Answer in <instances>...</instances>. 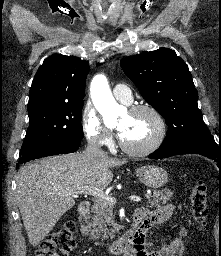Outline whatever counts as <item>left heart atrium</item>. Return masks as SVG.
Here are the masks:
<instances>
[{
    "mask_svg": "<svg viewBox=\"0 0 221 256\" xmlns=\"http://www.w3.org/2000/svg\"><path fill=\"white\" fill-rule=\"evenodd\" d=\"M120 137H121V138L123 137V133H122V132H120Z\"/></svg>",
    "mask_w": 221,
    "mask_h": 256,
    "instance_id": "1",
    "label": "left heart atrium"
}]
</instances>
